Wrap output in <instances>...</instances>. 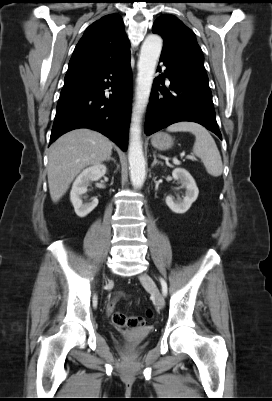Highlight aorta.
<instances>
[{
    "instance_id": "obj_1",
    "label": "aorta",
    "mask_w": 272,
    "mask_h": 401,
    "mask_svg": "<svg viewBox=\"0 0 272 401\" xmlns=\"http://www.w3.org/2000/svg\"><path fill=\"white\" fill-rule=\"evenodd\" d=\"M162 46L163 41L160 36L156 34L148 35L141 46L137 64V86L131 117L128 152L130 179L135 188L142 187L146 175L140 122L149 101L156 63L160 57Z\"/></svg>"
}]
</instances>
